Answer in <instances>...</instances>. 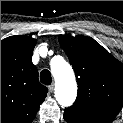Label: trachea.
<instances>
[{"mask_svg": "<svg viewBox=\"0 0 123 123\" xmlns=\"http://www.w3.org/2000/svg\"><path fill=\"white\" fill-rule=\"evenodd\" d=\"M40 80H41V83H43L45 85H50L51 84L52 78H51V73L49 72V70L44 69V70L41 71Z\"/></svg>", "mask_w": 123, "mask_h": 123, "instance_id": "3493384b", "label": "trachea"}]
</instances>
